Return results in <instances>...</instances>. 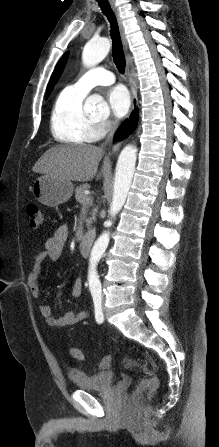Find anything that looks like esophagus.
<instances>
[{
	"mask_svg": "<svg viewBox=\"0 0 219 447\" xmlns=\"http://www.w3.org/2000/svg\"><path fill=\"white\" fill-rule=\"evenodd\" d=\"M110 6L116 16L117 22H118V26H119V30H120V35H121V39H122V43L124 46V50L127 54L128 51V44H127V38H126V34L124 31V26H123V22L122 19L120 17V13L119 10L115 4L114 0H109ZM126 74L129 77L130 76V62H129V56L127 55V64H126ZM131 94H132V109L134 110L137 105H138V99H137V92L136 89L134 88L133 85H131ZM120 147V142L116 143L113 148H112V153H115Z\"/></svg>",
	"mask_w": 219,
	"mask_h": 447,
	"instance_id": "obj_1",
	"label": "esophagus"
}]
</instances>
